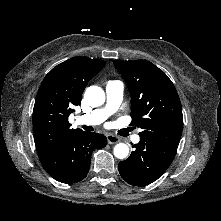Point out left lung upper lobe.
<instances>
[{
	"label": "left lung upper lobe",
	"instance_id": "left-lung-upper-lobe-1",
	"mask_svg": "<svg viewBox=\"0 0 221 221\" xmlns=\"http://www.w3.org/2000/svg\"><path fill=\"white\" fill-rule=\"evenodd\" d=\"M131 95V125L139 136L178 147L183 130L182 106L168 76L146 60H114Z\"/></svg>",
	"mask_w": 221,
	"mask_h": 221
}]
</instances>
